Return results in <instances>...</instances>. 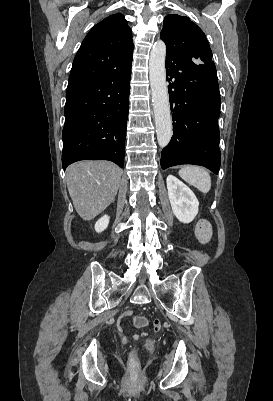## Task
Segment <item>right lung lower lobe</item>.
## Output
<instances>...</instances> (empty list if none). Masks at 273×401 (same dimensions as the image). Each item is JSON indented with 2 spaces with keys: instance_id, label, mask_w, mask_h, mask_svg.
<instances>
[{
  "instance_id": "98d812e1",
  "label": "right lung lower lobe",
  "mask_w": 273,
  "mask_h": 401,
  "mask_svg": "<svg viewBox=\"0 0 273 401\" xmlns=\"http://www.w3.org/2000/svg\"><path fill=\"white\" fill-rule=\"evenodd\" d=\"M132 61L103 77L67 91L62 133V167L79 160L124 165Z\"/></svg>"
}]
</instances>
